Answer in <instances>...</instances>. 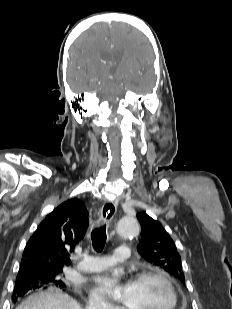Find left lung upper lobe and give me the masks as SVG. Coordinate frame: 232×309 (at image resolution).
Segmentation results:
<instances>
[{"label": "left lung upper lobe", "mask_w": 232, "mask_h": 309, "mask_svg": "<svg viewBox=\"0 0 232 309\" xmlns=\"http://www.w3.org/2000/svg\"><path fill=\"white\" fill-rule=\"evenodd\" d=\"M137 218L142 227L141 240L137 247L140 255L150 264L184 283L181 257L172 238L158 221L146 213H138Z\"/></svg>", "instance_id": "1"}]
</instances>
